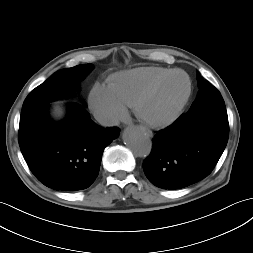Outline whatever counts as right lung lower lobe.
<instances>
[{"label": "right lung lower lobe", "mask_w": 253, "mask_h": 253, "mask_svg": "<svg viewBox=\"0 0 253 253\" xmlns=\"http://www.w3.org/2000/svg\"><path fill=\"white\" fill-rule=\"evenodd\" d=\"M68 107L67 118L59 123L50 119L49 104L21 112L18 140L28 167L41 183L54 190L76 191L95 181L103 151L120 129L97 125L80 104Z\"/></svg>", "instance_id": "98d812e1"}]
</instances>
